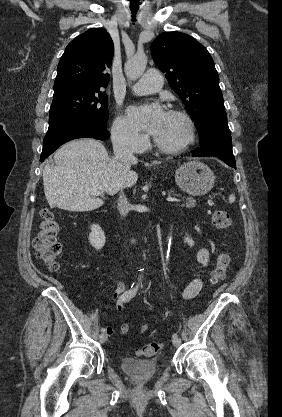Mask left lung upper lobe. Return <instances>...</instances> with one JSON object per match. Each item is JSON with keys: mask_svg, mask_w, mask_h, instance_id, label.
<instances>
[{"mask_svg": "<svg viewBox=\"0 0 282 417\" xmlns=\"http://www.w3.org/2000/svg\"><path fill=\"white\" fill-rule=\"evenodd\" d=\"M151 53L197 128L207 116L225 113L219 76L202 44L187 34L165 32L153 41Z\"/></svg>", "mask_w": 282, "mask_h": 417, "instance_id": "obj_1", "label": "left lung upper lobe"}]
</instances>
